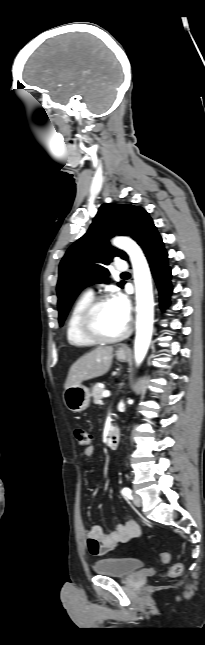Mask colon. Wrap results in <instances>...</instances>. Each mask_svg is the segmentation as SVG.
<instances>
[{"label":"colon","instance_id":"1","mask_svg":"<svg viewBox=\"0 0 205 645\" xmlns=\"http://www.w3.org/2000/svg\"><path fill=\"white\" fill-rule=\"evenodd\" d=\"M74 435L76 438V441L79 446L81 447H88L90 442H91V436L88 433L87 430L83 428H77L74 431ZM160 559L162 562L167 563L169 561V554L166 552H163L160 554ZM183 570V566L181 563H176L174 564L170 569H169V576L171 577H177L181 574Z\"/></svg>","mask_w":205,"mask_h":645}]
</instances>
